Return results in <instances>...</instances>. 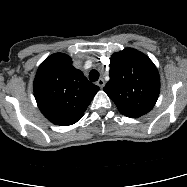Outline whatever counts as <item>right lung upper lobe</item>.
I'll list each match as a JSON object with an SVG mask.
<instances>
[{"mask_svg": "<svg viewBox=\"0 0 187 187\" xmlns=\"http://www.w3.org/2000/svg\"><path fill=\"white\" fill-rule=\"evenodd\" d=\"M33 89L43 115L53 124L68 126L82 118L99 87L72 66L68 55L55 53L39 66Z\"/></svg>", "mask_w": 187, "mask_h": 187, "instance_id": "1", "label": "right lung upper lobe"}]
</instances>
